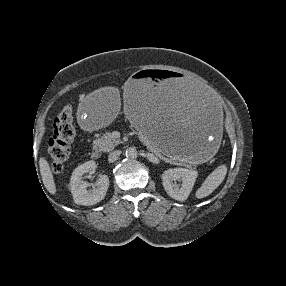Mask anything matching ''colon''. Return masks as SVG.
Wrapping results in <instances>:
<instances>
[{
  "label": "colon",
  "mask_w": 286,
  "mask_h": 286,
  "mask_svg": "<svg viewBox=\"0 0 286 286\" xmlns=\"http://www.w3.org/2000/svg\"><path fill=\"white\" fill-rule=\"evenodd\" d=\"M76 136L73 121V106L66 104L57 115L54 123V135L48 144V161L54 173L62 171L71 155V146Z\"/></svg>",
  "instance_id": "5ec220e1"
}]
</instances>
